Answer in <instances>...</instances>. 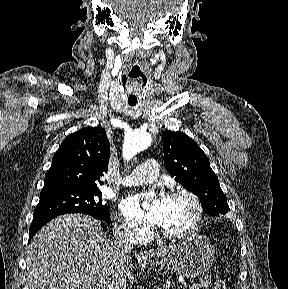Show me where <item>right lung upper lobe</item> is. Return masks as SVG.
<instances>
[{
    "label": "right lung upper lobe",
    "mask_w": 288,
    "mask_h": 289,
    "mask_svg": "<svg viewBox=\"0 0 288 289\" xmlns=\"http://www.w3.org/2000/svg\"><path fill=\"white\" fill-rule=\"evenodd\" d=\"M110 143L101 127H87L68 136L56 151L44 188L98 187L107 173ZM43 188V189H44Z\"/></svg>",
    "instance_id": "right-lung-upper-lobe-1"
}]
</instances>
